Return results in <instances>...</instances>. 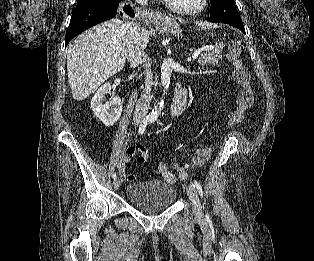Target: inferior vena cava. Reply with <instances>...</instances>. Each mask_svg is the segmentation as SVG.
<instances>
[{
    "mask_svg": "<svg viewBox=\"0 0 314 261\" xmlns=\"http://www.w3.org/2000/svg\"><path fill=\"white\" fill-rule=\"evenodd\" d=\"M148 0H137L138 4L146 5ZM127 33V59L132 67L143 65L145 68V88L141 95L140 100L134 111V119H144L148 113L150 102H151V87L153 84V75L150 69V63L148 56L144 52L145 45L143 44V29L138 23L129 22L126 24Z\"/></svg>",
    "mask_w": 314,
    "mask_h": 261,
    "instance_id": "1",
    "label": "inferior vena cava"
}]
</instances>
